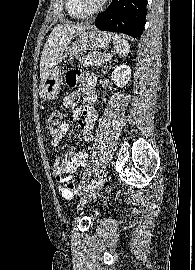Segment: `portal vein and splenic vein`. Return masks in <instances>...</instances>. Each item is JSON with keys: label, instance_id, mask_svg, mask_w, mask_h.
<instances>
[{"label": "portal vein and splenic vein", "instance_id": "obj_1", "mask_svg": "<svg viewBox=\"0 0 195 270\" xmlns=\"http://www.w3.org/2000/svg\"><path fill=\"white\" fill-rule=\"evenodd\" d=\"M104 56L107 57V58H110V59H111V57H112L111 54H104Z\"/></svg>", "mask_w": 195, "mask_h": 270}]
</instances>
